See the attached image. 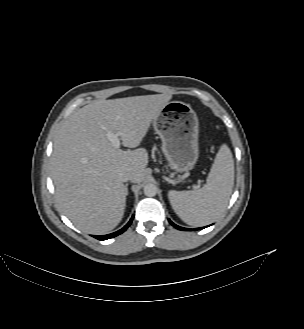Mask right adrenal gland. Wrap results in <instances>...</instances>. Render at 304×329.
Here are the masks:
<instances>
[{
	"instance_id": "2a0ac1e0",
	"label": "right adrenal gland",
	"mask_w": 304,
	"mask_h": 329,
	"mask_svg": "<svg viewBox=\"0 0 304 329\" xmlns=\"http://www.w3.org/2000/svg\"><path fill=\"white\" fill-rule=\"evenodd\" d=\"M127 186H128V185L126 184V185H125V187H126V190H128V189H127ZM127 194H128V191H127Z\"/></svg>"
}]
</instances>
